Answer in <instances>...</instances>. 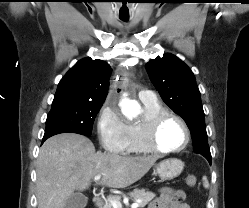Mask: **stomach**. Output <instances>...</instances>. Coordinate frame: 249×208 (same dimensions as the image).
Masks as SVG:
<instances>
[{
	"instance_id": "1",
	"label": "stomach",
	"mask_w": 249,
	"mask_h": 208,
	"mask_svg": "<svg viewBox=\"0 0 249 208\" xmlns=\"http://www.w3.org/2000/svg\"><path fill=\"white\" fill-rule=\"evenodd\" d=\"M184 163L177 158L165 159L155 166V172L162 181L172 180L183 171Z\"/></svg>"
}]
</instances>
